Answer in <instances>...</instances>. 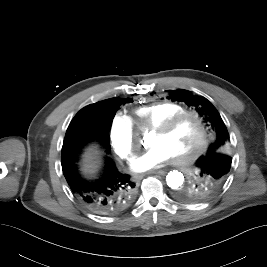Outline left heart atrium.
Instances as JSON below:
<instances>
[{
	"mask_svg": "<svg viewBox=\"0 0 267 267\" xmlns=\"http://www.w3.org/2000/svg\"><path fill=\"white\" fill-rule=\"evenodd\" d=\"M171 158L169 152L160 145L152 146L145 153L136 157L132 164V170L145 172L156 168Z\"/></svg>",
	"mask_w": 267,
	"mask_h": 267,
	"instance_id": "39dd6f15",
	"label": "left heart atrium"
}]
</instances>
